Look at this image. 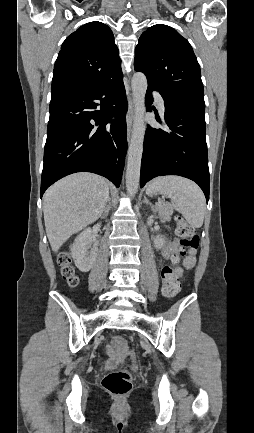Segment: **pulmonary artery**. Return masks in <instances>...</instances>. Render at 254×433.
I'll list each match as a JSON object with an SVG mask.
<instances>
[{"instance_id": "pulmonary-artery-1", "label": "pulmonary artery", "mask_w": 254, "mask_h": 433, "mask_svg": "<svg viewBox=\"0 0 254 433\" xmlns=\"http://www.w3.org/2000/svg\"><path fill=\"white\" fill-rule=\"evenodd\" d=\"M153 95H154V98L157 102V106L159 108V111L163 114L165 111V106H164V101H163L162 96L156 91L153 93Z\"/></svg>"}]
</instances>
